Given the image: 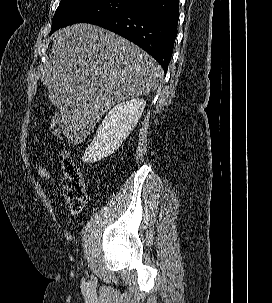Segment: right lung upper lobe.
<instances>
[{
    "label": "right lung upper lobe",
    "mask_w": 272,
    "mask_h": 303,
    "mask_svg": "<svg viewBox=\"0 0 272 303\" xmlns=\"http://www.w3.org/2000/svg\"><path fill=\"white\" fill-rule=\"evenodd\" d=\"M134 1H136L139 4V3L145 2L147 0H134Z\"/></svg>",
    "instance_id": "1"
}]
</instances>
